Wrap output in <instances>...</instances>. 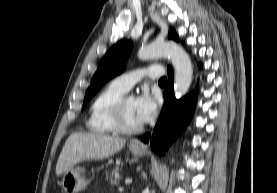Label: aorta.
<instances>
[{"label": "aorta", "instance_id": "1", "mask_svg": "<svg viewBox=\"0 0 277 193\" xmlns=\"http://www.w3.org/2000/svg\"><path fill=\"white\" fill-rule=\"evenodd\" d=\"M164 56L168 57L174 66V93L176 98H181L188 92L193 75L191 60L183 48L173 42H154L138 51L141 60Z\"/></svg>", "mask_w": 277, "mask_h": 193}]
</instances>
